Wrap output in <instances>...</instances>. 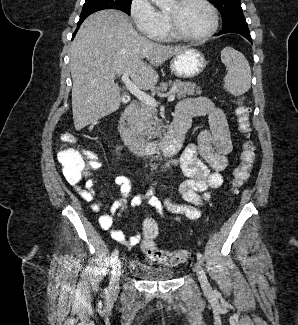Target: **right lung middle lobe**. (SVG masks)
Masks as SVG:
<instances>
[{
	"label": "right lung middle lobe",
	"instance_id": "1",
	"mask_svg": "<svg viewBox=\"0 0 298 325\" xmlns=\"http://www.w3.org/2000/svg\"><path fill=\"white\" fill-rule=\"evenodd\" d=\"M132 0H86L80 20L86 19L90 14L103 9H118L130 15Z\"/></svg>",
	"mask_w": 298,
	"mask_h": 325
}]
</instances>
